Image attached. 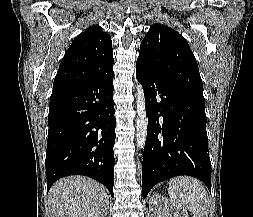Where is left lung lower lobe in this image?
<instances>
[{
  "instance_id": "1",
  "label": "left lung lower lobe",
  "mask_w": 253,
  "mask_h": 217,
  "mask_svg": "<svg viewBox=\"0 0 253 217\" xmlns=\"http://www.w3.org/2000/svg\"><path fill=\"white\" fill-rule=\"evenodd\" d=\"M148 116L143 155L142 195L178 175L200 179L211 191L204 96L175 86L136 63Z\"/></svg>"
}]
</instances>
